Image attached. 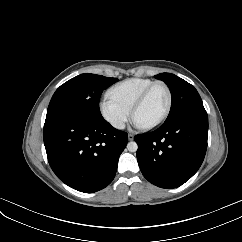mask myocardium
<instances>
[{"label":"myocardium","instance_id":"myocardium-1","mask_svg":"<svg viewBox=\"0 0 242 242\" xmlns=\"http://www.w3.org/2000/svg\"><path fill=\"white\" fill-rule=\"evenodd\" d=\"M157 86H162L167 93L166 107H165L162 115L160 116V118L157 121H155L152 124L142 126V128L145 130H151V129H154V128L160 126L166 120V118L171 110L173 97H172V92H171L170 87L163 81H156V82H153L151 85H149L134 101V103L131 107V110H130L131 118L134 120L135 113L138 110V108L143 104V102L145 101L147 96L150 94V92Z\"/></svg>","mask_w":242,"mask_h":242}]
</instances>
